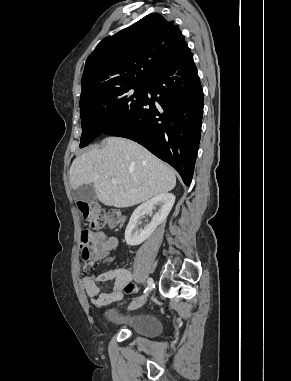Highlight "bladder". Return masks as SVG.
I'll return each mask as SVG.
<instances>
[{
  "label": "bladder",
  "mask_w": 291,
  "mask_h": 381,
  "mask_svg": "<svg viewBox=\"0 0 291 381\" xmlns=\"http://www.w3.org/2000/svg\"><path fill=\"white\" fill-rule=\"evenodd\" d=\"M106 321L114 328H123L135 335L153 338L162 330L160 320L152 313L120 314L115 308L107 309Z\"/></svg>",
  "instance_id": "bladder-1"
}]
</instances>
